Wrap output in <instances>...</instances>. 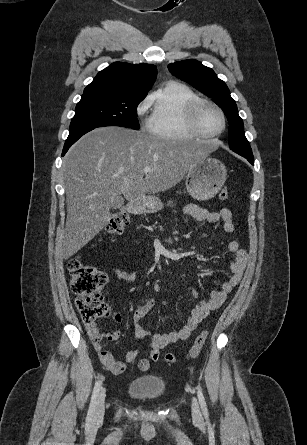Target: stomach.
Returning <instances> with one entry per match:
<instances>
[{
	"instance_id": "stomach-1",
	"label": "stomach",
	"mask_w": 307,
	"mask_h": 445,
	"mask_svg": "<svg viewBox=\"0 0 307 445\" xmlns=\"http://www.w3.org/2000/svg\"><path fill=\"white\" fill-rule=\"evenodd\" d=\"M226 176V166L221 160L211 158V156H202L187 172L185 180L187 192L196 200H209L221 190ZM144 204L148 212H157L163 208V202L159 196H150Z\"/></svg>"
}]
</instances>
